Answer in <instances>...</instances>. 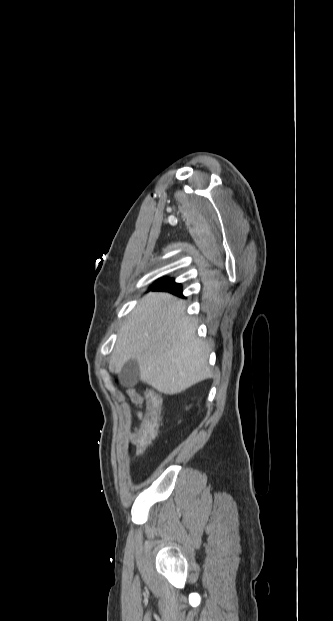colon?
<instances>
[{"label":"colon","instance_id":"obj_1","mask_svg":"<svg viewBox=\"0 0 333 621\" xmlns=\"http://www.w3.org/2000/svg\"><path fill=\"white\" fill-rule=\"evenodd\" d=\"M162 397L155 390H150L148 407L142 423L137 432L138 439L136 442V450L138 455H144L153 439L156 437L161 422Z\"/></svg>","mask_w":333,"mask_h":621}]
</instances>
